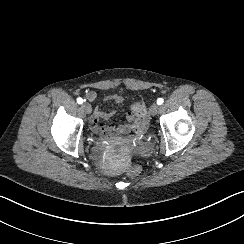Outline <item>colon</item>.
I'll return each instance as SVG.
<instances>
[{"label":"colon","instance_id":"colon-1","mask_svg":"<svg viewBox=\"0 0 244 244\" xmlns=\"http://www.w3.org/2000/svg\"><path fill=\"white\" fill-rule=\"evenodd\" d=\"M132 111L136 116L134 130L138 133L145 131L148 122V113L143 102L137 101L132 105ZM126 174L130 178H136L141 174V168L138 165H133L128 168Z\"/></svg>","mask_w":244,"mask_h":244}]
</instances>
